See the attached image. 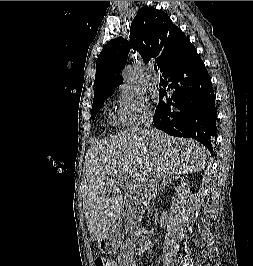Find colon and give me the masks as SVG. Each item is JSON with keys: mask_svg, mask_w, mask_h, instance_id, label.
<instances>
[{"mask_svg": "<svg viewBox=\"0 0 253 266\" xmlns=\"http://www.w3.org/2000/svg\"><path fill=\"white\" fill-rule=\"evenodd\" d=\"M94 265L95 266H112L113 263L110 259H108L105 256H98L95 258Z\"/></svg>", "mask_w": 253, "mask_h": 266, "instance_id": "1", "label": "colon"}]
</instances>
